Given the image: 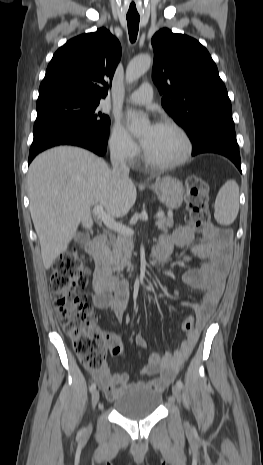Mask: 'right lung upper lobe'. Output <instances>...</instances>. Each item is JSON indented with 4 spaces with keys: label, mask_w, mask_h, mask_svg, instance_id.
<instances>
[{
    "label": "right lung upper lobe",
    "mask_w": 263,
    "mask_h": 465,
    "mask_svg": "<svg viewBox=\"0 0 263 465\" xmlns=\"http://www.w3.org/2000/svg\"><path fill=\"white\" fill-rule=\"evenodd\" d=\"M121 58V45L107 29L77 36L53 55L37 101L61 96L100 100Z\"/></svg>",
    "instance_id": "cb5924a9"
}]
</instances>
